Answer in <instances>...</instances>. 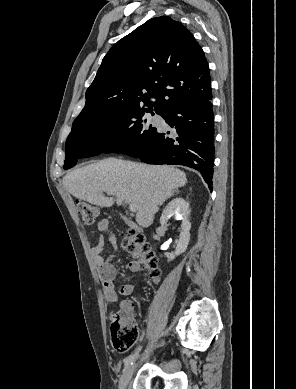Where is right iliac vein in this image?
I'll use <instances>...</instances> for the list:
<instances>
[{
  "label": "right iliac vein",
  "instance_id": "obj_1",
  "mask_svg": "<svg viewBox=\"0 0 296 389\" xmlns=\"http://www.w3.org/2000/svg\"><path fill=\"white\" fill-rule=\"evenodd\" d=\"M135 369V365H129L123 372L120 381H119V389H125L133 375Z\"/></svg>",
  "mask_w": 296,
  "mask_h": 389
}]
</instances>
